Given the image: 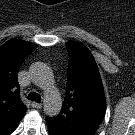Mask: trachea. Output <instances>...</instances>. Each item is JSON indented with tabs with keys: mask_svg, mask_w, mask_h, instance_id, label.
Here are the masks:
<instances>
[{
	"mask_svg": "<svg viewBox=\"0 0 135 135\" xmlns=\"http://www.w3.org/2000/svg\"><path fill=\"white\" fill-rule=\"evenodd\" d=\"M28 99L31 100V101H35L37 103L41 102V96L36 92H30L28 94Z\"/></svg>",
	"mask_w": 135,
	"mask_h": 135,
	"instance_id": "1",
	"label": "trachea"
}]
</instances>
